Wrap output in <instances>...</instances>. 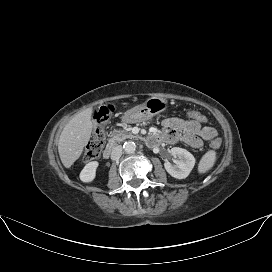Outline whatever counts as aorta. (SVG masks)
Instances as JSON below:
<instances>
[{
  "label": "aorta",
  "mask_w": 272,
  "mask_h": 272,
  "mask_svg": "<svg viewBox=\"0 0 272 272\" xmlns=\"http://www.w3.org/2000/svg\"><path fill=\"white\" fill-rule=\"evenodd\" d=\"M123 148H124V151L127 153V154H131V153H134L135 150H136V145L134 142L132 141H127L124 143L123 145Z\"/></svg>",
  "instance_id": "1"
}]
</instances>
